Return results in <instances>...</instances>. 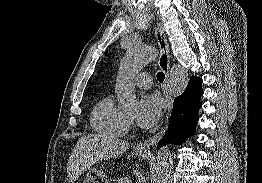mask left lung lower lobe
<instances>
[{"instance_id":"left-lung-lower-lobe-1","label":"left lung lower lobe","mask_w":262,"mask_h":183,"mask_svg":"<svg viewBox=\"0 0 262 183\" xmlns=\"http://www.w3.org/2000/svg\"><path fill=\"white\" fill-rule=\"evenodd\" d=\"M201 85L202 79L192 76L185 91L175 98L168 129L158 147L167 142L179 145L194 134L203 95Z\"/></svg>"}]
</instances>
